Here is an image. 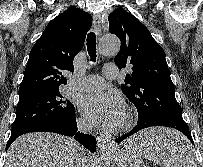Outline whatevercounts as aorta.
I'll use <instances>...</instances> for the list:
<instances>
[{"label": "aorta", "mask_w": 203, "mask_h": 167, "mask_svg": "<svg viewBox=\"0 0 203 167\" xmlns=\"http://www.w3.org/2000/svg\"><path fill=\"white\" fill-rule=\"evenodd\" d=\"M120 50V40L115 35L104 36L98 46L99 54L102 56H114ZM111 144L103 146L97 154L93 167H111Z\"/></svg>", "instance_id": "obj_1"}]
</instances>
